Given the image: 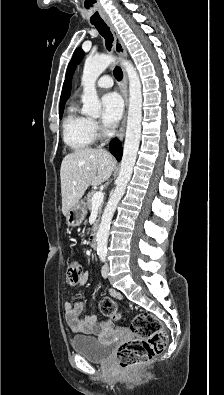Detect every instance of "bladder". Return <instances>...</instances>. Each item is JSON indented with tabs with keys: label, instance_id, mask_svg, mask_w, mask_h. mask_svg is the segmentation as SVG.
I'll use <instances>...</instances> for the list:
<instances>
[{
	"label": "bladder",
	"instance_id": "obj_1",
	"mask_svg": "<svg viewBox=\"0 0 224 395\" xmlns=\"http://www.w3.org/2000/svg\"><path fill=\"white\" fill-rule=\"evenodd\" d=\"M70 344L75 353L84 356L90 362H106L113 353V341L103 342L97 337L75 336Z\"/></svg>",
	"mask_w": 224,
	"mask_h": 395
}]
</instances>
